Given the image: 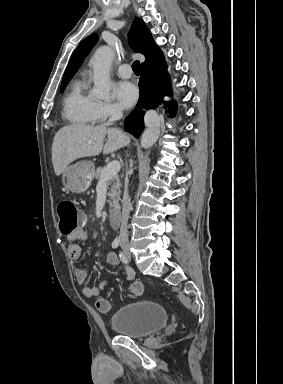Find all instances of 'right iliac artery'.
Masks as SVG:
<instances>
[{
	"instance_id": "obj_1",
	"label": "right iliac artery",
	"mask_w": 283,
	"mask_h": 384,
	"mask_svg": "<svg viewBox=\"0 0 283 384\" xmlns=\"http://www.w3.org/2000/svg\"><path fill=\"white\" fill-rule=\"evenodd\" d=\"M119 242H120V239L117 237L114 239V241L112 242V248H117L119 246Z\"/></svg>"
}]
</instances>
